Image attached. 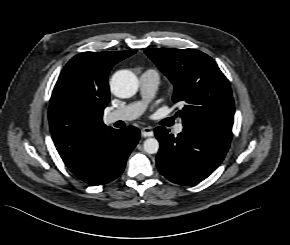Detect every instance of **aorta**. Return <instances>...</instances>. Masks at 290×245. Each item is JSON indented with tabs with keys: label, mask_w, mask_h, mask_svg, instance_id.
Instances as JSON below:
<instances>
[{
	"label": "aorta",
	"mask_w": 290,
	"mask_h": 245,
	"mask_svg": "<svg viewBox=\"0 0 290 245\" xmlns=\"http://www.w3.org/2000/svg\"><path fill=\"white\" fill-rule=\"evenodd\" d=\"M111 90L117 97L129 98L138 89V80L134 73L129 70L117 71L110 81ZM144 150L148 154H155L159 150V142L155 138H148L144 141Z\"/></svg>",
	"instance_id": "obj_1"
}]
</instances>
